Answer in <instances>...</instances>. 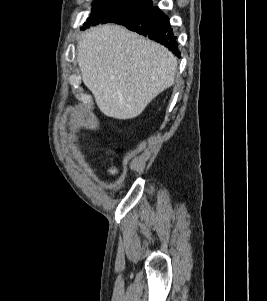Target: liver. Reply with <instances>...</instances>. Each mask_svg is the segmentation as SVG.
I'll list each match as a JSON object with an SVG mask.
<instances>
[{"label":"liver","mask_w":267,"mask_h":301,"mask_svg":"<svg viewBox=\"0 0 267 301\" xmlns=\"http://www.w3.org/2000/svg\"><path fill=\"white\" fill-rule=\"evenodd\" d=\"M77 50L83 83L115 119L137 117L175 80L177 58L167 48L118 25L86 32Z\"/></svg>","instance_id":"obj_1"}]
</instances>
